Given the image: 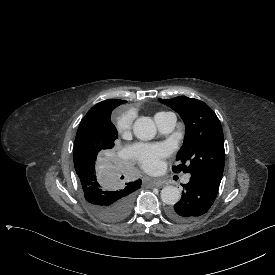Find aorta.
I'll list each match as a JSON object with an SVG mask.
<instances>
[{
    "label": "aorta",
    "mask_w": 275,
    "mask_h": 275,
    "mask_svg": "<svg viewBox=\"0 0 275 275\" xmlns=\"http://www.w3.org/2000/svg\"><path fill=\"white\" fill-rule=\"evenodd\" d=\"M133 132L138 139L147 141L152 140L156 136L157 128L150 117H140L134 122ZM180 198L181 193L175 186H165L161 190V199L165 204L174 205Z\"/></svg>",
    "instance_id": "1"
}]
</instances>
